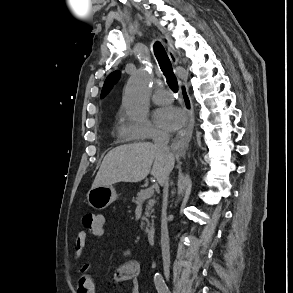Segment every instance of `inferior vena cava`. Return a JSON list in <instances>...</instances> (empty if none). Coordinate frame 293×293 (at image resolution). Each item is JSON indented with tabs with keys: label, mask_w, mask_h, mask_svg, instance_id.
Segmentation results:
<instances>
[{
	"label": "inferior vena cava",
	"mask_w": 293,
	"mask_h": 293,
	"mask_svg": "<svg viewBox=\"0 0 293 293\" xmlns=\"http://www.w3.org/2000/svg\"><path fill=\"white\" fill-rule=\"evenodd\" d=\"M169 135L167 133L159 132L155 135L154 145L159 152L166 155L168 158L172 157V153L169 150ZM163 186L164 200H163V211H162V221H161V247H162V258H163V267L166 272L169 271L170 265V253H169V235L167 227V199H168V189H169V176L160 183Z\"/></svg>",
	"instance_id": "602c4592"
}]
</instances>
